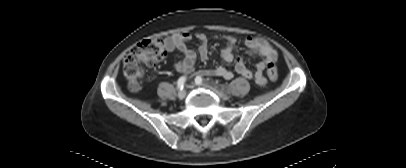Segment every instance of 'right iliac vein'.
Instances as JSON below:
<instances>
[{
	"label": "right iliac vein",
	"mask_w": 406,
	"mask_h": 168,
	"mask_svg": "<svg viewBox=\"0 0 406 168\" xmlns=\"http://www.w3.org/2000/svg\"><path fill=\"white\" fill-rule=\"evenodd\" d=\"M185 96H186V91L185 90L179 91V93H178V98L179 99H183V98H185Z\"/></svg>",
	"instance_id": "1"
}]
</instances>
